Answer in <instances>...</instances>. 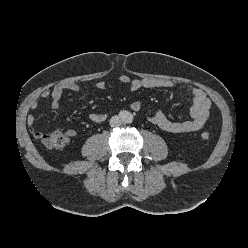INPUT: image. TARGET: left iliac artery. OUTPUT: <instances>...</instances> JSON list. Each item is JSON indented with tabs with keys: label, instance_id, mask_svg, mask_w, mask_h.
<instances>
[{
	"label": "left iliac artery",
	"instance_id": "left-iliac-artery-1",
	"mask_svg": "<svg viewBox=\"0 0 248 248\" xmlns=\"http://www.w3.org/2000/svg\"><path fill=\"white\" fill-rule=\"evenodd\" d=\"M128 122H131L132 121V117L129 116L128 119H127Z\"/></svg>",
	"mask_w": 248,
	"mask_h": 248
}]
</instances>
